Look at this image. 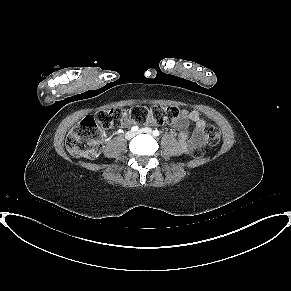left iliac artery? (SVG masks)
I'll list each match as a JSON object with an SVG mask.
<instances>
[{"label": "left iliac artery", "instance_id": "obj_1", "mask_svg": "<svg viewBox=\"0 0 291 291\" xmlns=\"http://www.w3.org/2000/svg\"><path fill=\"white\" fill-rule=\"evenodd\" d=\"M153 135H154V136H159V135H160V132H159L158 130H154V131H153Z\"/></svg>", "mask_w": 291, "mask_h": 291}]
</instances>
